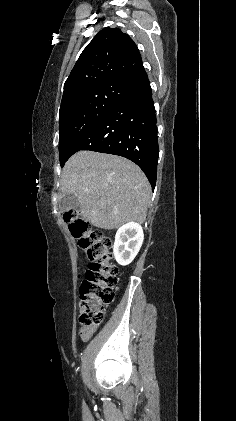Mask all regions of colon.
I'll return each instance as SVG.
<instances>
[{"mask_svg":"<svg viewBox=\"0 0 236 421\" xmlns=\"http://www.w3.org/2000/svg\"><path fill=\"white\" fill-rule=\"evenodd\" d=\"M64 219L89 261L80 285L78 321L82 331H92L102 322L118 285V268L112 262V242L77 210L66 212Z\"/></svg>","mask_w":236,"mask_h":421,"instance_id":"5ec220e1","label":"colon"}]
</instances>
